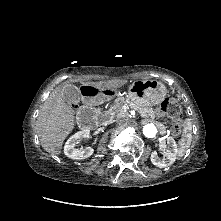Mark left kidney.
Returning a JSON list of instances; mask_svg holds the SVG:
<instances>
[{
  "mask_svg": "<svg viewBox=\"0 0 221 221\" xmlns=\"http://www.w3.org/2000/svg\"><path fill=\"white\" fill-rule=\"evenodd\" d=\"M161 146H167V150L164 153V158H159L157 152L154 151L152 152L150 159L153 165L159 168H164L172 165L175 162L179 151L177 148V144L172 137H168L166 140H162Z\"/></svg>",
  "mask_w": 221,
  "mask_h": 221,
  "instance_id": "1",
  "label": "left kidney"
}]
</instances>
